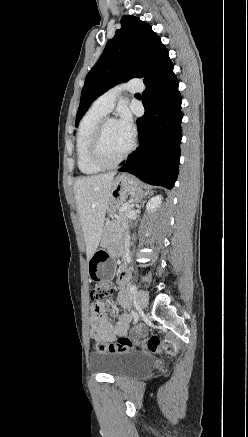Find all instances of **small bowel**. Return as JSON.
Wrapping results in <instances>:
<instances>
[{
  "label": "small bowel",
  "instance_id": "c3829d8e",
  "mask_svg": "<svg viewBox=\"0 0 248 437\" xmlns=\"http://www.w3.org/2000/svg\"><path fill=\"white\" fill-rule=\"evenodd\" d=\"M128 279V272L122 269L118 276L119 290L117 293V302L127 310L129 309L130 302L123 291V286L127 283ZM130 321L131 315L129 312H126L118 317L116 324L113 326L105 313V305L103 303H95L92 306L89 335L93 340L98 342H113L117 336H123L127 333Z\"/></svg>",
  "mask_w": 248,
  "mask_h": 437
}]
</instances>
